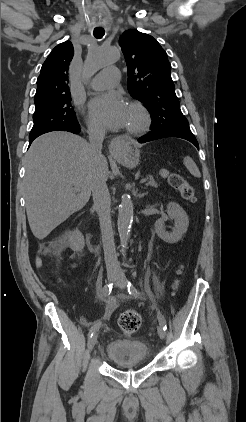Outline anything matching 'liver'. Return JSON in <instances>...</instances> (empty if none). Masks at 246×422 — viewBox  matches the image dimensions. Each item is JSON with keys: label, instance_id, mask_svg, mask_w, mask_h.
I'll return each mask as SVG.
<instances>
[{"label": "liver", "instance_id": "1", "mask_svg": "<svg viewBox=\"0 0 246 422\" xmlns=\"http://www.w3.org/2000/svg\"><path fill=\"white\" fill-rule=\"evenodd\" d=\"M101 167L108 178V163ZM96 165L89 143L68 132L54 131L38 137L25 157V200L29 226L44 239L90 199Z\"/></svg>", "mask_w": 246, "mask_h": 422}]
</instances>
